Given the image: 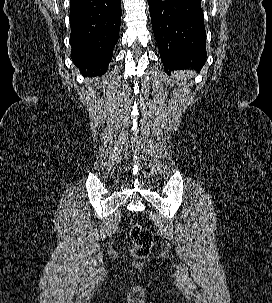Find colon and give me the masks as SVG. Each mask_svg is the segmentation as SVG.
I'll return each instance as SVG.
<instances>
[{
  "instance_id": "colon-1",
  "label": "colon",
  "mask_w": 272,
  "mask_h": 303,
  "mask_svg": "<svg viewBox=\"0 0 272 303\" xmlns=\"http://www.w3.org/2000/svg\"><path fill=\"white\" fill-rule=\"evenodd\" d=\"M130 238L133 256L139 259L146 258L153 244L152 231L141 224H134L130 230Z\"/></svg>"
}]
</instances>
